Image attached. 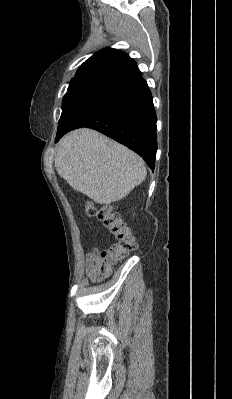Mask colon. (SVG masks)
I'll list each match as a JSON object with an SVG mask.
<instances>
[{
	"label": "colon",
	"mask_w": 232,
	"mask_h": 399,
	"mask_svg": "<svg viewBox=\"0 0 232 399\" xmlns=\"http://www.w3.org/2000/svg\"><path fill=\"white\" fill-rule=\"evenodd\" d=\"M81 207H84L85 211L81 212V218H86V215H97V205L94 204V201L84 200V202H81ZM113 211V201L106 203L105 206L102 202L98 203V220L102 221V225H106L108 233H112V248L108 250L96 248V265H98L99 276H104V273L113 268V257L117 259L129 258V252L137 250V236L131 234V223L121 221V216L114 218V214H111Z\"/></svg>",
	"instance_id": "obj_1"
}]
</instances>
